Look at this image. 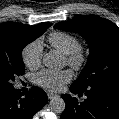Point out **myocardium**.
I'll return each instance as SVG.
<instances>
[{
	"label": "myocardium",
	"instance_id": "obj_1",
	"mask_svg": "<svg viewBox=\"0 0 119 119\" xmlns=\"http://www.w3.org/2000/svg\"><path fill=\"white\" fill-rule=\"evenodd\" d=\"M87 55L79 45L75 50L65 55L66 64L74 70H80L86 63Z\"/></svg>",
	"mask_w": 119,
	"mask_h": 119
}]
</instances>
